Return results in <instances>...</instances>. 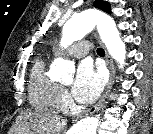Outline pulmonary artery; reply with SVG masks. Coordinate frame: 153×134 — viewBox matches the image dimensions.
<instances>
[{"label":"pulmonary artery","instance_id":"obj_1","mask_svg":"<svg viewBox=\"0 0 153 134\" xmlns=\"http://www.w3.org/2000/svg\"><path fill=\"white\" fill-rule=\"evenodd\" d=\"M90 50V43L88 41H81L73 45L68 53L74 57L81 58L88 54Z\"/></svg>","mask_w":153,"mask_h":134}]
</instances>
